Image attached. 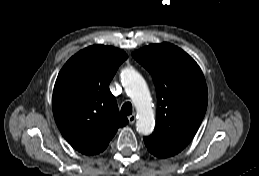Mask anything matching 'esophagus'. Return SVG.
I'll return each mask as SVG.
<instances>
[{
  "label": "esophagus",
  "mask_w": 259,
  "mask_h": 176,
  "mask_svg": "<svg viewBox=\"0 0 259 176\" xmlns=\"http://www.w3.org/2000/svg\"><path fill=\"white\" fill-rule=\"evenodd\" d=\"M135 120H136V116L135 115L128 116L129 124H131V125L134 124Z\"/></svg>",
  "instance_id": "1"
}]
</instances>
